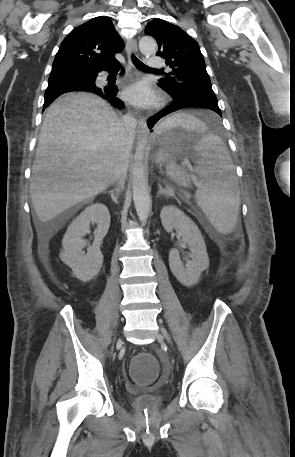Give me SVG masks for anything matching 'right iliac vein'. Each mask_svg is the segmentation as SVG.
<instances>
[{"label": "right iliac vein", "mask_w": 295, "mask_h": 457, "mask_svg": "<svg viewBox=\"0 0 295 457\" xmlns=\"http://www.w3.org/2000/svg\"><path fill=\"white\" fill-rule=\"evenodd\" d=\"M120 343H121V340L119 339L118 342H117V344H120Z\"/></svg>", "instance_id": "63e3f726"}]
</instances>
